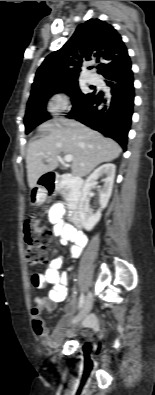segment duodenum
<instances>
[{
  "instance_id": "410a0bca",
  "label": "duodenum",
  "mask_w": 155,
  "mask_h": 395,
  "mask_svg": "<svg viewBox=\"0 0 155 395\" xmlns=\"http://www.w3.org/2000/svg\"><path fill=\"white\" fill-rule=\"evenodd\" d=\"M42 185L51 193L62 190L66 192L70 219L76 226H81L80 207L84 188L83 179L50 172L42 177Z\"/></svg>"
}]
</instances>
